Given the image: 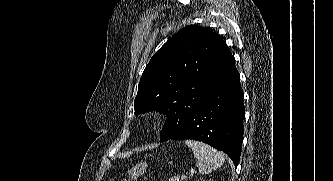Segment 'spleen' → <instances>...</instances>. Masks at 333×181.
<instances>
[{"instance_id":"1","label":"spleen","mask_w":333,"mask_h":181,"mask_svg":"<svg viewBox=\"0 0 333 181\" xmlns=\"http://www.w3.org/2000/svg\"><path fill=\"white\" fill-rule=\"evenodd\" d=\"M186 145L193 151L201 174H208L224 164V156L211 146L193 140H186Z\"/></svg>"}]
</instances>
